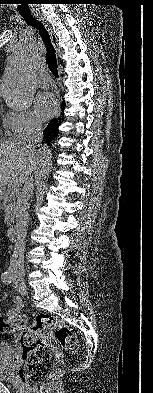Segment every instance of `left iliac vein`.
Instances as JSON below:
<instances>
[{
  "mask_svg": "<svg viewBox=\"0 0 153 393\" xmlns=\"http://www.w3.org/2000/svg\"><path fill=\"white\" fill-rule=\"evenodd\" d=\"M13 285H14V288L18 291V292H20L21 294H25L26 292H27V290H26V285L25 284H19L18 282H14L13 283Z\"/></svg>",
  "mask_w": 153,
  "mask_h": 393,
  "instance_id": "1",
  "label": "left iliac vein"
}]
</instances>
